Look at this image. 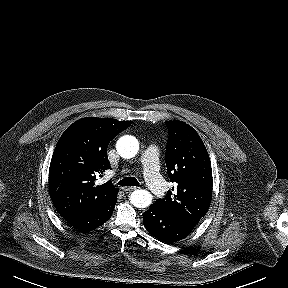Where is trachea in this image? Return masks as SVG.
<instances>
[{"mask_svg": "<svg viewBox=\"0 0 288 288\" xmlns=\"http://www.w3.org/2000/svg\"><path fill=\"white\" fill-rule=\"evenodd\" d=\"M120 186H137L139 187V182L134 177H125L118 182Z\"/></svg>", "mask_w": 288, "mask_h": 288, "instance_id": "1", "label": "trachea"}]
</instances>
